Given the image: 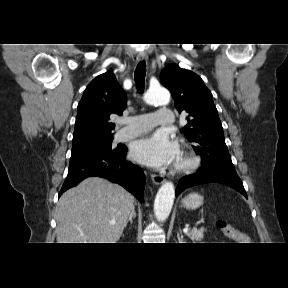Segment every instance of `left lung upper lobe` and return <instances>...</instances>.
<instances>
[{"label": "left lung upper lobe", "mask_w": 288, "mask_h": 288, "mask_svg": "<svg viewBox=\"0 0 288 288\" xmlns=\"http://www.w3.org/2000/svg\"><path fill=\"white\" fill-rule=\"evenodd\" d=\"M161 83L172 93L174 104L181 113H189L184 134L202 158L201 168L218 167L236 172L225 144L223 128L213 96L200 76L168 65L160 75Z\"/></svg>", "instance_id": "obj_1"}]
</instances>
